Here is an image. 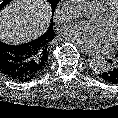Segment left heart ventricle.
<instances>
[{
	"label": "left heart ventricle",
	"mask_w": 118,
	"mask_h": 118,
	"mask_svg": "<svg viewBox=\"0 0 118 118\" xmlns=\"http://www.w3.org/2000/svg\"><path fill=\"white\" fill-rule=\"evenodd\" d=\"M99 22L102 23L109 33L111 34L113 38V42L118 40V15L110 20V21H105L102 18L99 19Z\"/></svg>",
	"instance_id": "left-heart-ventricle-1"
}]
</instances>
